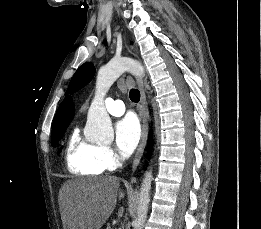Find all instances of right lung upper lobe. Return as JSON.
Returning <instances> with one entry per match:
<instances>
[{"mask_svg": "<svg viewBox=\"0 0 261 229\" xmlns=\"http://www.w3.org/2000/svg\"><path fill=\"white\" fill-rule=\"evenodd\" d=\"M74 116V105L71 97H66L60 104L53 120V125L70 123Z\"/></svg>", "mask_w": 261, "mask_h": 229, "instance_id": "right-lung-upper-lobe-1", "label": "right lung upper lobe"}]
</instances>
